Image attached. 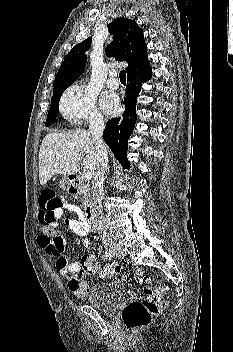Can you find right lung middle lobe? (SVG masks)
Here are the masks:
<instances>
[{
    "label": "right lung middle lobe",
    "instance_id": "dd1d6c3e",
    "mask_svg": "<svg viewBox=\"0 0 233 352\" xmlns=\"http://www.w3.org/2000/svg\"><path fill=\"white\" fill-rule=\"evenodd\" d=\"M69 86H59L53 89V96L51 98V105L48 111L47 119H46V126L53 124L56 120V116L59 109V100L62 93L65 89Z\"/></svg>",
    "mask_w": 233,
    "mask_h": 352
}]
</instances>
